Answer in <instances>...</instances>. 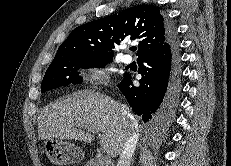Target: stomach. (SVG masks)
I'll use <instances>...</instances> for the list:
<instances>
[{
	"label": "stomach",
	"instance_id": "1",
	"mask_svg": "<svg viewBox=\"0 0 231 166\" xmlns=\"http://www.w3.org/2000/svg\"><path fill=\"white\" fill-rule=\"evenodd\" d=\"M44 147L50 160L59 166L79 163L84 159V152L78 145L61 139L46 140Z\"/></svg>",
	"mask_w": 231,
	"mask_h": 166
}]
</instances>
